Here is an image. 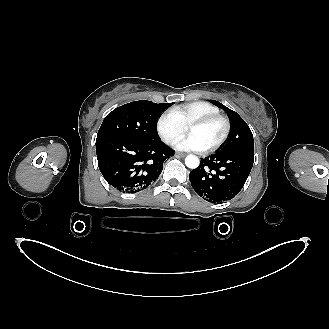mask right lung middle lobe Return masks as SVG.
Returning a JSON list of instances; mask_svg holds the SVG:
<instances>
[{
	"instance_id": "obj_1",
	"label": "right lung middle lobe",
	"mask_w": 329,
	"mask_h": 329,
	"mask_svg": "<svg viewBox=\"0 0 329 329\" xmlns=\"http://www.w3.org/2000/svg\"><path fill=\"white\" fill-rule=\"evenodd\" d=\"M173 103L156 104L140 100L111 111L104 119L98 134L116 135L138 140L158 141L157 120Z\"/></svg>"
}]
</instances>
